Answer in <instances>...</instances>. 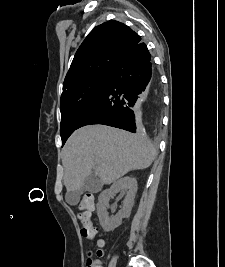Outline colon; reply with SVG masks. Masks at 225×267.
<instances>
[{"label":"colon","mask_w":225,"mask_h":267,"mask_svg":"<svg viewBox=\"0 0 225 267\" xmlns=\"http://www.w3.org/2000/svg\"><path fill=\"white\" fill-rule=\"evenodd\" d=\"M79 213L78 217L82 222L81 235L83 238L92 241L97 233L96 227L91 222V211L94 208V198L92 195H87L78 204ZM99 249L94 253L90 254L89 258L86 260V267H102L98 258L103 255L101 249L102 242L98 243Z\"/></svg>","instance_id":"obj_1"}]
</instances>
